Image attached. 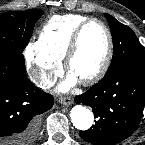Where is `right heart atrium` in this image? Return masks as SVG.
I'll return each instance as SVG.
<instances>
[{
	"instance_id": "right-heart-atrium-1",
	"label": "right heart atrium",
	"mask_w": 145,
	"mask_h": 145,
	"mask_svg": "<svg viewBox=\"0 0 145 145\" xmlns=\"http://www.w3.org/2000/svg\"><path fill=\"white\" fill-rule=\"evenodd\" d=\"M25 59L34 80L44 87L50 86L61 70V60L45 52L38 42L27 45Z\"/></svg>"
}]
</instances>
